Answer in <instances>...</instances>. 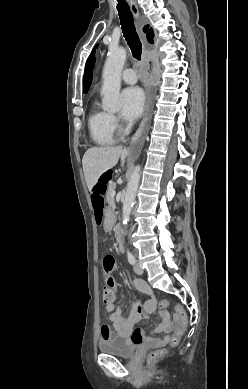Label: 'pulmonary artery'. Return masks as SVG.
I'll list each match as a JSON object with an SVG mask.
<instances>
[{
    "label": "pulmonary artery",
    "instance_id": "pulmonary-artery-1",
    "mask_svg": "<svg viewBox=\"0 0 248 389\" xmlns=\"http://www.w3.org/2000/svg\"><path fill=\"white\" fill-rule=\"evenodd\" d=\"M122 80L126 83L133 84L137 81V74L134 69L128 68L122 72Z\"/></svg>",
    "mask_w": 248,
    "mask_h": 389
}]
</instances>
